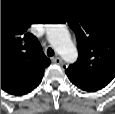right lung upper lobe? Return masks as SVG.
Returning a JSON list of instances; mask_svg holds the SVG:
<instances>
[{"label":"right lung upper lobe","mask_w":115,"mask_h":114,"mask_svg":"<svg viewBox=\"0 0 115 114\" xmlns=\"http://www.w3.org/2000/svg\"><path fill=\"white\" fill-rule=\"evenodd\" d=\"M30 23L1 19V89L13 95L31 92L50 65L38 39L27 32Z\"/></svg>","instance_id":"1"}]
</instances>
